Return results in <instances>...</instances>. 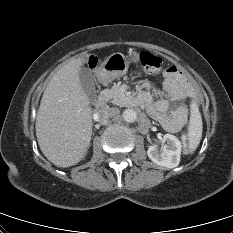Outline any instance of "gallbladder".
Instances as JSON below:
<instances>
[{
  "label": "gallbladder",
  "instance_id": "1",
  "mask_svg": "<svg viewBox=\"0 0 233 233\" xmlns=\"http://www.w3.org/2000/svg\"><path fill=\"white\" fill-rule=\"evenodd\" d=\"M79 80L83 91L88 96L90 102L94 103L97 99L96 81L91 70L82 66L79 71Z\"/></svg>",
  "mask_w": 233,
  "mask_h": 233
}]
</instances>
